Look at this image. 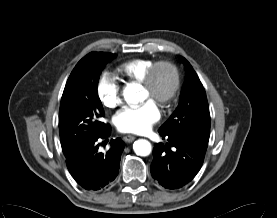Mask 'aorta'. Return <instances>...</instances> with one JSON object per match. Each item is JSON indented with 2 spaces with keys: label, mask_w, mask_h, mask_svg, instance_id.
I'll return each instance as SVG.
<instances>
[{
  "label": "aorta",
  "mask_w": 277,
  "mask_h": 218,
  "mask_svg": "<svg viewBox=\"0 0 277 218\" xmlns=\"http://www.w3.org/2000/svg\"><path fill=\"white\" fill-rule=\"evenodd\" d=\"M125 100L128 103L136 104L141 100V97L139 92L135 89L127 88L125 91ZM133 149L138 156H148L152 151L150 142L145 139H139L135 141L133 144Z\"/></svg>",
  "instance_id": "aorta-1"
}]
</instances>
